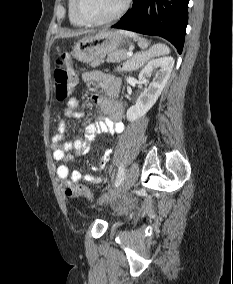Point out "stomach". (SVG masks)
Instances as JSON below:
<instances>
[{"instance_id":"0dacf381","label":"stomach","mask_w":233,"mask_h":284,"mask_svg":"<svg viewBox=\"0 0 233 284\" xmlns=\"http://www.w3.org/2000/svg\"><path fill=\"white\" fill-rule=\"evenodd\" d=\"M126 37L116 31L103 30L79 40L73 47L72 55L83 63H94L106 54L121 50Z\"/></svg>"}]
</instances>
